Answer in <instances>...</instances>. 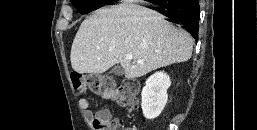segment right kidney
Here are the masks:
<instances>
[{
  "mask_svg": "<svg viewBox=\"0 0 257 130\" xmlns=\"http://www.w3.org/2000/svg\"><path fill=\"white\" fill-rule=\"evenodd\" d=\"M170 85L169 75L161 71L146 80L141 93V108L146 119H154L161 114L168 100L167 89Z\"/></svg>",
  "mask_w": 257,
  "mask_h": 130,
  "instance_id": "right-kidney-1",
  "label": "right kidney"
}]
</instances>
